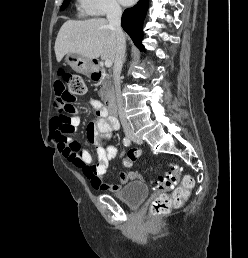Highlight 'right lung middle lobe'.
<instances>
[{
  "mask_svg": "<svg viewBox=\"0 0 248 258\" xmlns=\"http://www.w3.org/2000/svg\"><path fill=\"white\" fill-rule=\"evenodd\" d=\"M69 2H70V0H64L62 6H61V8H60V10L65 9V8L67 7V5L69 4Z\"/></svg>",
  "mask_w": 248,
  "mask_h": 258,
  "instance_id": "dd1d6c3e",
  "label": "right lung middle lobe"
}]
</instances>
